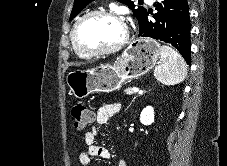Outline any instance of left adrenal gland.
I'll use <instances>...</instances> for the list:
<instances>
[{
	"mask_svg": "<svg viewBox=\"0 0 227 166\" xmlns=\"http://www.w3.org/2000/svg\"><path fill=\"white\" fill-rule=\"evenodd\" d=\"M134 99H135V98H134ZM134 99L131 101V103L134 101ZM131 103H130V104H131Z\"/></svg>",
	"mask_w": 227,
	"mask_h": 166,
	"instance_id": "1",
	"label": "left adrenal gland"
}]
</instances>
